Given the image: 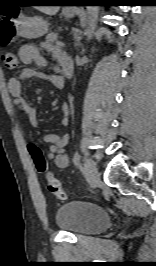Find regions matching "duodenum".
Wrapping results in <instances>:
<instances>
[{
  "instance_id": "410a0bca",
  "label": "duodenum",
  "mask_w": 156,
  "mask_h": 266,
  "mask_svg": "<svg viewBox=\"0 0 156 266\" xmlns=\"http://www.w3.org/2000/svg\"><path fill=\"white\" fill-rule=\"evenodd\" d=\"M62 71L65 78L69 79L71 78L73 74V63L72 60L67 57L62 61Z\"/></svg>"
}]
</instances>
